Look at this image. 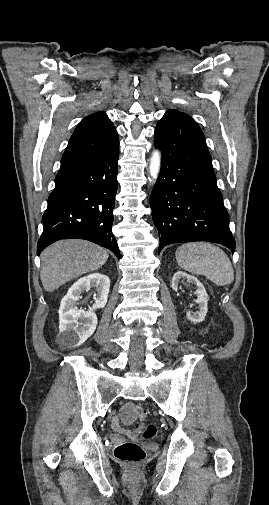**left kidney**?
Segmentation results:
<instances>
[{
	"label": "left kidney",
	"instance_id": "5707ae66",
	"mask_svg": "<svg viewBox=\"0 0 269 505\" xmlns=\"http://www.w3.org/2000/svg\"><path fill=\"white\" fill-rule=\"evenodd\" d=\"M181 279H187L188 282H192L196 286L195 294L197 299L195 303L198 304L199 310L196 312L187 311V319L193 323H200L205 319L208 311V294L203 286V284L194 276L187 274L184 271H177L172 278V289L174 291L178 290V285Z\"/></svg>",
	"mask_w": 269,
	"mask_h": 505
}]
</instances>
